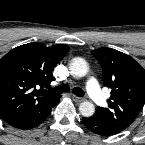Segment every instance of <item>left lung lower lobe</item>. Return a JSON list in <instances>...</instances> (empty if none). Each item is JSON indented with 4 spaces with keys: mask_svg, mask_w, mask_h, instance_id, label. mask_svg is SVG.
Segmentation results:
<instances>
[{
    "mask_svg": "<svg viewBox=\"0 0 145 145\" xmlns=\"http://www.w3.org/2000/svg\"><path fill=\"white\" fill-rule=\"evenodd\" d=\"M82 122L87 129L100 136H111L121 132L114 127L104 123L96 114L89 118H82Z\"/></svg>",
    "mask_w": 145,
    "mask_h": 145,
    "instance_id": "0a47b994",
    "label": "left lung lower lobe"
}]
</instances>
